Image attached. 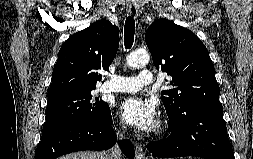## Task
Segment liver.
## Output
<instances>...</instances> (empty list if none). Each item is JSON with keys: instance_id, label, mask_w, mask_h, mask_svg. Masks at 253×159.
I'll list each match as a JSON object with an SVG mask.
<instances>
[{"instance_id": "1", "label": "liver", "mask_w": 253, "mask_h": 159, "mask_svg": "<svg viewBox=\"0 0 253 159\" xmlns=\"http://www.w3.org/2000/svg\"><path fill=\"white\" fill-rule=\"evenodd\" d=\"M107 152L81 151L62 156L58 159H107Z\"/></svg>"}]
</instances>
